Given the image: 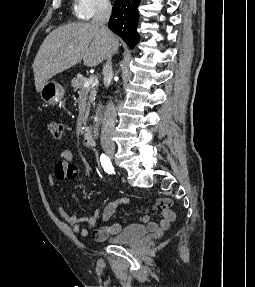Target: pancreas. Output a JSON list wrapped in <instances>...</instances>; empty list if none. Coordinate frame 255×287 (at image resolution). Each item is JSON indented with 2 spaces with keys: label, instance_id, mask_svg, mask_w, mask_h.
Here are the masks:
<instances>
[{
  "label": "pancreas",
  "instance_id": "obj_1",
  "mask_svg": "<svg viewBox=\"0 0 255 287\" xmlns=\"http://www.w3.org/2000/svg\"><path fill=\"white\" fill-rule=\"evenodd\" d=\"M86 82H88V78H85V76H81V74H77V78H73V80H71L74 92H77L78 90V94H81V92H86V94H88V106L86 108V114L83 118L84 126H86L87 118L90 112V106L91 104H94L95 98L97 96V86H90V88H84V84H86Z\"/></svg>",
  "mask_w": 255,
  "mask_h": 287
}]
</instances>
